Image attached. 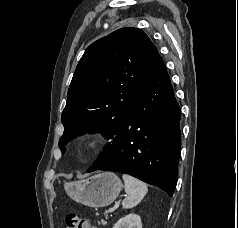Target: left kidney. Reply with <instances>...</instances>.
<instances>
[{
  "label": "left kidney",
  "mask_w": 238,
  "mask_h": 228,
  "mask_svg": "<svg viewBox=\"0 0 238 228\" xmlns=\"http://www.w3.org/2000/svg\"><path fill=\"white\" fill-rule=\"evenodd\" d=\"M113 228H142V222L139 215L129 214L119 219Z\"/></svg>",
  "instance_id": "left-kidney-1"
}]
</instances>
